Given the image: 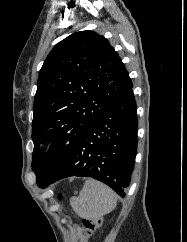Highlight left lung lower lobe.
Returning a JSON list of instances; mask_svg holds the SVG:
<instances>
[{
	"label": "left lung lower lobe",
	"instance_id": "left-lung-lower-lobe-1",
	"mask_svg": "<svg viewBox=\"0 0 187 242\" xmlns=\"http://www.w3.org/2000/svg\"><path fill=\"white\" fill-rule=\"evenodd\" d=\"M132 87L88 127L62 163L49 174L36 177L39 187L69 176H89L125 196L137 150V108Z\"/></svg>",
	"mask_w": 187,
	"mask_h": 242
}]
</instances>
